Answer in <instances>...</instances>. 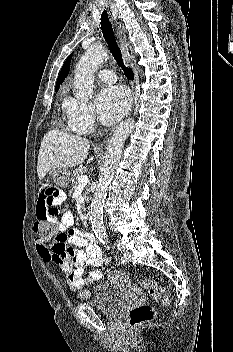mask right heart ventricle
<instances>
[{
	"instance_id": "1",
	"label": "right heart ventricle",
	"mask_w": 233,
	"mask_h": 352,
	"mask_svg": "<svg viewBox=\"0 0 233 352\" xmlns=\"http://www.w3.org/2000/svg\"><path fill=\"white\" fill-rule=\"evenodd\" d=\"M64 107H65V101H64ZM67 112V111H66ZM67 115H68V113H67ZM68 119H69V115H68ZM68 128L70 129V130H72V131H74L73 130V128H72V126H71V123H70V119L68 120Z\"/></svg>"
}]
</instances>
